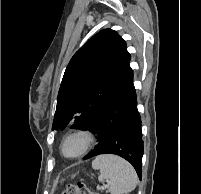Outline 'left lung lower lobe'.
Segmentation results:
<instances>
[{
  "mask_svg": "<svg viewBox=\"0 0 201 194\" xmlns=\"http://www.w3.org/2000/svg\"><path fill=\"white\" fill-rule=\"evenodd\" d=\"M85 130L97 133L99 141L85 159L100 154L119 155L133 165L141 179L143 140L132 70Z\"/></svg>",
  "mask_w": 201,
  "mask_h": 194,
  "instance_id": "obj_1",
  "label": "left lung lower lobe"
}]
</instances>
